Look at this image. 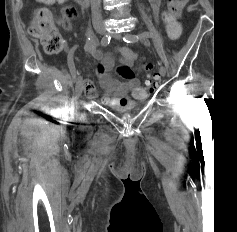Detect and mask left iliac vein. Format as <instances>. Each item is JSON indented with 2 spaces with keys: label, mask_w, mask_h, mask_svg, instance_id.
<instances>
[{
  "label": "left iliac vein",
  "mask_w": 237,
  "mask_h": 232,
  "mask_svg": "<svg viewBox=\"0 0 237 232\" xmlns=\"http://www.w3.org/2000/svg\"><path fill=\"white\" fill-rule=\"evenodd\" d=\"M110 34L112 35V37L116 40H120L121 39V35L117 32H110ZM159 73L161 74V76H165L166 75V68L164 66H161L159 69Z\"/></svg>",
  "instance_id": "4c4485c4"
}]
</instances>
